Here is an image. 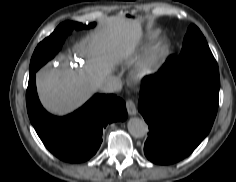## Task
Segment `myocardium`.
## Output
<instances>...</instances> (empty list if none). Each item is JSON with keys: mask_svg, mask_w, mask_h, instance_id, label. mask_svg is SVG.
Segmentation results:
<instances>
[{"mask_svg": "<svg viewBox=\"0 0 236 182\" xmlns=\"http://www.w3.org/2000/svg\"><path fill=\"white\" fill-rule=\"evenodd\" d=\"M168 50V41L164 38L157 39L132 70V79L137 83H142L150 79L167 56Z\"/></svg>", "mask_w": 236, "mask_h": 182, "instance_id": "1", "label": "myocardium"}]
</instances>
